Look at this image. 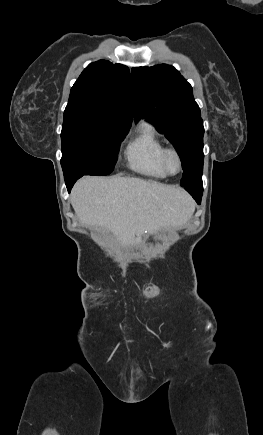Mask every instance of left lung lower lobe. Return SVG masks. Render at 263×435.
Returning a JSON list of instances; mask_svg holds the SVG:
<instances>
[{
  "label": "left lung lower lobe",
  "mask_w": 263,
  "mask_h": 435,
  "mask_svg": "<svg viewBox=\"0 0 263 435\" xmlns=\"http://www.w3.org/2000/svg\"><path fill=\"white\" fill-rule=\"evenodd\" d=\"M183 187L193 196L198 204L201 203V197L203 192L202 182L195 185H187Z\"/></svg>",
  "instance_id": "0a47b994"
}]
</instances>
